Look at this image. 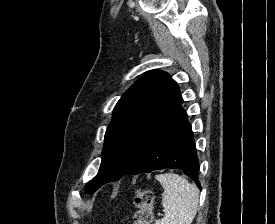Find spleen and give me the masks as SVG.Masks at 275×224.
Wrapping results in <instances>:
<instances>
[{
    "instance_id": "1",
    "label": "spleen",
    "mask_w": 275,
    "mask_h": 224,
    "mask_svg": "<svg viewBox=\"0 0 275 224\" xmlns=\"http://www.w3.org/2000/svg\"><path fill=\"white\" fill-rule=\"evenodd\" d=\"M155 178L164 189L162 205L165 212L155 224H191L199 203L197 187L175 173L158 174Z\"/></svg>"
}]
</instances>
